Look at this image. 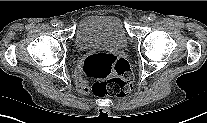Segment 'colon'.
I'll return each instance as SVG.
<instances>
[{
    "label": "colon",
    "instance_id": "1",
    "mask_svg": "<svg viewBox=\"0 0 207 123\" xmlns=\"http://www.w3.org/2000/svg\"><path fill=\"white\" fill-rule=\"evenodd\" d=\"M84 72L93 80L92 91L97 96H124L132 89L133 72L123 58L92 55L84 62Z\"/></svg>",
    "mask_w": 207,
    "mask_h": 123
}]
</instances>
